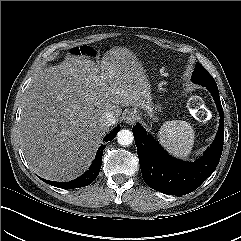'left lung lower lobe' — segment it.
<instances>
[{
  "label": "left lung lower lobe",
  "mask_w": 241,
  "mask_h": 241,
  "mask_svg": "<svg viewBox=\"0 0 241 241\" xmlns=\"http://www.w3.org/2000/svg\"><path fill=\"white\" fill-rule=\"evenodd\" d=\"M205 87L215 100L220 124L212 145L200 159L194 162L174 159L140 124L133 126L142 177L152 189L168 195H185L198 188L216 169L223 149L224 112L218 87Z\"/></svg>",
  "instance_id": "1"
}]
</instances>
